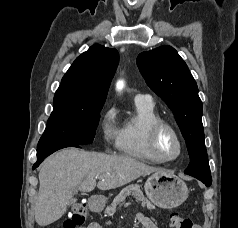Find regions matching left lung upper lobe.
Instances as JSON below:
<instances>
[{"label":"left lung upper lobe","instance_id":"5c2ea615","mask_svg":"<svg viewBox=\"0 0 238 228\" xmlns=\"http://www.w3.org/2000/svg\"><path fill=\"white\" fill-rule=\"evenodd\" d=\"M137 65L148 86L173 112L186 140L190 163L184 171L211 177L204 143L202 101L186 63L171 46L142 52Z\"/></svg>","mask_w":238,"mask_h":228}]
</instances>
